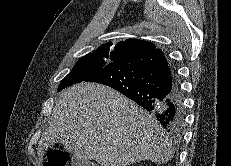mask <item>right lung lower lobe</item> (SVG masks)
I'll list each match as a JSON object with an SVG mask.
<instances>
[{
  "instance_id": "1",
  "label": "right lung lower lobe",
  "mask_w": 231,
  "mask_h": 166,
  "mask_svg": "<svg viewBox=\"0 0 231 166\" xmlns=\"http://www.w3.org/2000/svg\"><path fill=\"white\" fill-rule=\"evenodd\" d=\"M84 81L114 88L155 113L168 133L181 135L184 128L183 96L175 70L161 50L118 59Z\"/></svg>"
}]
</instances>
